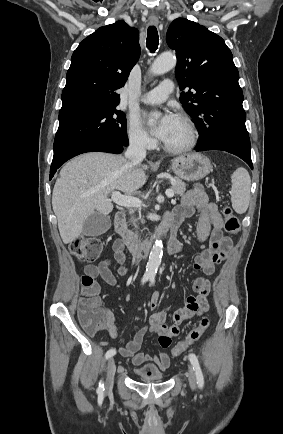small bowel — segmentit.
Returning a JSON list of instances; mask_svg holds the SVG:
<instances>
[{
  "mask_svg": "<svg viewBox=\"0 0 283 434\" xmlns=\"http://www.w3.org/2000/svg\"><path fill=\"white\" fill-rule=\"evenodd\" d=\"M196 212L199 213L197 238L200 242L209 240L210 244L209 249L200 253L194 262V268L201 271L204 276L195 279L193 290L196 294L188 296L185 306L171 314L170 325L166 324V313L156 312L150 316L148 327L137 331L125 346L118 349V353L124 358H130L135 367H140L146 362H153L159 369H167L171 359L166 352L154 356L140 351L146 333L150 331L158 334L161 348H168L172 338L179 333V326L184 320L200 316L209 309L210 282L206 276H211L215 272L216 265L228 256L233 242L230 237L223 233V219L217 205L209 200L205 190L200 185H195L185 193L180 204L166 216L165 221L170 222L178 229L186 218L192 217ZM169 251L172 255H179L182 252L180 242L176 240L169 244ZM113 253L114 260L118 263V275H127L128 267L125 264L124 244L120 239L114 241ZM111 263V259H101L96 264L86 266L85 274L94 278L101 277L108 285L116 286L117 280L110 270ZM157 302L158 294L154 293L150 300V308L155 309ZM103 314L104 319L101 328H105L112 339H117L119 334L113 313L103 309Z\"/></svg>",
  "mask_w": 283,
  "mask_h": 434,
  "instance_id": "obj_1",
  "label": "small bowel"
}]
</instances>
